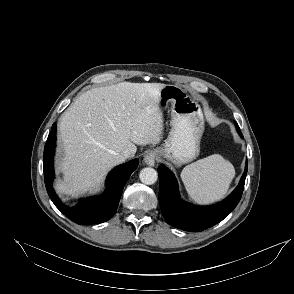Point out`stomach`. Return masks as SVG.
<instances>
[{
	"mask_svg": "<svg viewBox=\"0 0 294 294\" xmlns=\"http://www.w3.org/2000/svg\"><path fill=\"white\" fill-rule=\"evenodd\" d=\"M161 110L171 108V130L158 153L182 165L195 159L200 151L204 117L200 105L182 88L165 85L159 92Z\"/></svg>",
	"mask_w": 294,
	"mask_h": 294,
	"instance_id": "0dacf381",
	"label": "stomach"
}]
</instances>
